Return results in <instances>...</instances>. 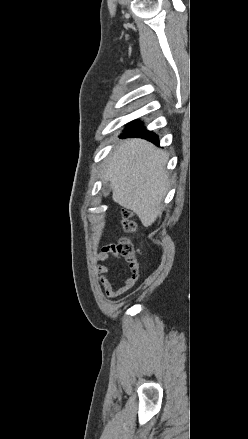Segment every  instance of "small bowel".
I'll list each match as a JSON object with an SVG mask.
<instances>
[{
  "instance_id": "c3829d8e",
  "label": "small bowel",
  "mask_w": 248,
  "mask_h": 439,
  "mask_svg": "<svg viewBox=\"0 0 248 439\" xmlns=\"http://www.w3.org/2000/svg\"><path fill=\"white\" fill-rule=\"evenodd\" d=\"M120 256L121 254L118 252L116 246L110 245L101 249L96 255V260L98 262H103L111 258H120ZM128 270L130 275L123 281V284L119 288L115 289L107 276L109 271L108 267L105 265H98L96 267V273L100 276L101 285L108 298H116L134 286L138 279L139 267L138 265L131 266L128 263Z\"/></svg>"
}]
</instances>
